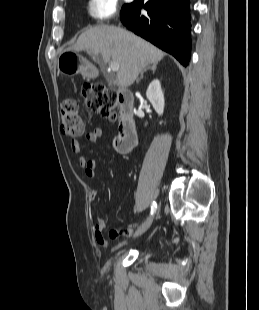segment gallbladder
<instances>
[{
    "mask_svg": "<svg viewBox=\"0 0 259 310\" xmlns=\"http://www.w3.org/2000/svg\"><path fill=\"white\" fill-rule=\"evenodd\" d=\"M104 66H105V65H104V64H102V68H104Z\"/></svg>",
    "mask_w": 259,
    "mask_h": 310,
    "instance_id": "bac80fb5",
    "label": "gallbladder"
}]
</instances>
